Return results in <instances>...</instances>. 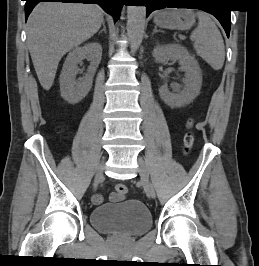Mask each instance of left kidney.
Returning <instances> with one entry per match:
<instances>
[{
	"instance_id": "5707ae66",
	"label": "left kidney",
	"mask_w": 259,
	"mask_h": 266,
	"mask_svg": "<svg viewBox=\"0 0 259 266\" xmlns=\"http://www.w3.org/2000/svg\"><path fill=\"white\" fill-rule=\"evenodd\" d=\"M153 57L157 63L168 60H178L185 72L184 88L178 93H171L166 85L159 89L161 99L170 107H182L193 101L200 93L202 85V72L200 66L185 47L172 43L158 45L153 50Z\"/></svg>"
}]
</instances>
